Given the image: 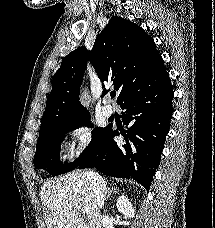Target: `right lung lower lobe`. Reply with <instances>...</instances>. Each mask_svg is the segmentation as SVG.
Masks as SVG:
<instances>
[{"label": "right lung lower lobe", "instance_id": "right-lung-lower-lobe-1", "mask_svg": "<svg viewBox=\"0 0 215 228\" xmlns=\"http://www.w3.org/2000/svg\"><path fill=\"white\" fill-rule=\"evenodd\" d=\"M173 96L169 75L137 82L120 104L126 110L123 124L129 125L121 132L126 143L114 141L120 134L111 126L103 142L77 167H95L112 177L132 178L148 190L170 129Z\"/></svg>", "mask_w": 215, "mask_h": 228}]
</instances>
